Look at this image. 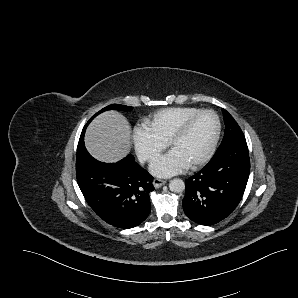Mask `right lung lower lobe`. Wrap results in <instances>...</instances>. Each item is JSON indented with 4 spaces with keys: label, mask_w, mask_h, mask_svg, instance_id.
<instances>
[{
    "label": "right lung lower lobe",
    "mask_w": 298,
    "mask_h": 298,
    "mask_svg": "<svg viewBox=\"0 0 298 298\" xmlns=\"http://www.w3.org/2000/svg\"><path fill=\"white\" fill-rule=\"evenodd\" d=\"M86 127L79 139L76 159L77 182L86 201L108 224L123 229L139 225L151 211L153 177L132 155L117 163L94 159L82 143Z\"/></svg>",
    "instance_id": "98d812e1"
}]
</instances>
